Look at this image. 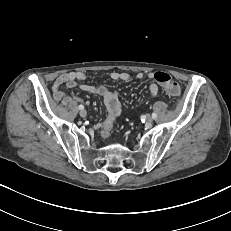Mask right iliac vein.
Here are the masks:
<instances>
[{
	"mask_svg": "<svg viewBox=\"0 0 231 231\" xmlns=\"http://www.w3.org/2000/svg\"><path fill=\"white\" fill-rule=\"evenodd\" d=\"M79 114L81 117H86L87 112H86V110L82 109Z\"/></svg>",
	"mask_w": 231,
	"mask_h": 231,
	"instance_id": "right-iliac-vein-1",
	"label": "right iliac vein"
}]
</instances>
